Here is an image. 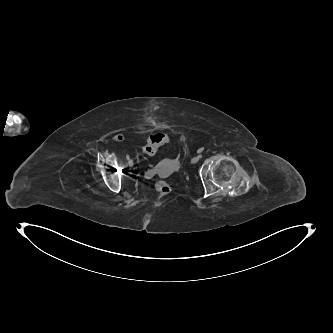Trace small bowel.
<instances>
[{
	"label": "small bowel",
	"mask_w": 333,
	"mask_h": 333,
	"mask_svg": "<svg viewBox=\"0 0 333 333\" xmlns=\"http://www.w3.org/2000/svg\"><path fill=\"white\" fill-rule=\"evenodd\" d=\"M116 140L120 141V140H123V136L121 134L117 135L116 136ZM157 174V168H153V169H150L147 173H146V176L148 178H151L153 176H155Z\"/></svg>",
	"instance_id": "obj_1"
}]
</instances>
